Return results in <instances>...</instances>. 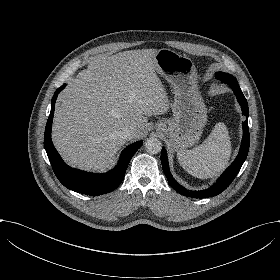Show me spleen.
Returning <instances> with one entry per match:
<instances>
[{
	"instance_id": "1",
	"label": "spleen",
	"mask_w": 280,
	"mask_h": 280,
	"mask_svg": "<svg viewBox=\"0 0 280 280\" xmlns=\"http://www.w3.org/2000/svg\"><path fill=\"white\" fill-rule=\"evenodd\" d=\"M232 154L227 125L219 122L211 137L200 147L176 154L180 166L193 177L209 179L220 175L228 166Z\"/></svg>"
}]
</instances>
